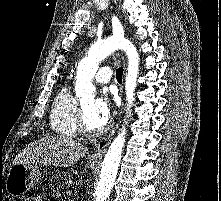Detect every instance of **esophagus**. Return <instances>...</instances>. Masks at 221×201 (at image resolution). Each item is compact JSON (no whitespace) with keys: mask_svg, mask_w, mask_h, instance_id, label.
Wrapping results in <instances>:
<instances>
[{"mask_svg":"<svg viewBox=\"0 0 221 201\" xmlns=\"http://www.w3.org/2000/svg\"><path fill=\"white\" fill-rule=\"evenodd\" d=\"M125 62V61H124ZM115 134V129L112 130L110 135L102 140H100L94 149V152L89 156L90 162H100L103 155L105 154L106 148L110 143L112 136Z\"/></svg>","mask_w":221,"mask_h":201,"instance_id":"34e87169","label":"esophagus"}]
</instances>
